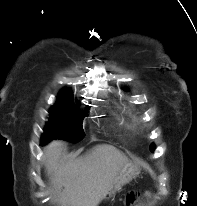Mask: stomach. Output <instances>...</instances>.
Returning a JSON list of instances; mask_svg holds the SVG:
<instances>
[{
	"label": "stomach",
	"mask_w": 197,
	"mask_h": 206,
	"mask_svg": "<svg viewBox=\"0 0 197 206\" xmlns=\"http://www.w3.org/2000/svg\"><path fill=\"white\" fill-rule=\"evenodd\" d=\"M139 174V170L132 166L131 164L125 163L120 171L118 172L117 177L115 178L109 192L104 196V199L110 198L115 192L119 191L122 186L129 183Z\"/></svg>",
	"instance_id": "1"
}]
</instances>
